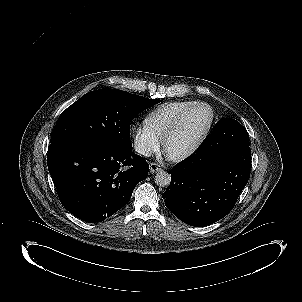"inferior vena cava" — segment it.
I'll return each instance as SVG.
<instances>
[{"mask_svg": "<svg viewBox=\"0 0 302 302\" xmlns=\"http://www.w3.org/2000/svg\"><path fill=\"white\" fill-rule=\"evenodd\" d=\"M135 150H136V152H138L139 154H141V155H143V156H146V157H149V156H151V154H152V151H151L149 148H147L146 146L141 145V144L136 145V146H135Z\"/></svg>", "mask_w": 302, "mask_h": 302, "instance_id": "obj_1", "label": "inferior vena cava"}]
</instances>
